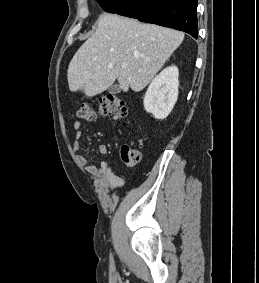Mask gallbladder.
<instances>
[{
    "instance_id": "bac80fb5",
    "label": "gallbladder",
    "mask_w": 259,
    "mask_h": 283,
    "mask_svg": "<svg viewBox=\"0 0 259 283\" xmlns=\"http://www.w3.org/2000/svg\"><path fill=\"white\" fill-rule=\"evenodd\" d=\"M121 91V88L118 84H115V85H112L109 89H108V92L110 94H118L120 93Z\"/></svg>"
}]
</instances>
